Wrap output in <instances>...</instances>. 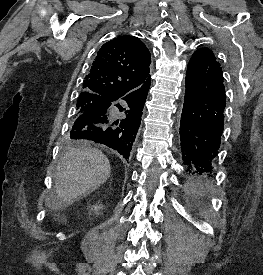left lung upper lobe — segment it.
<instances>
[{"label":"left lung upper lobe","instance_id":"5c2ea615","mask_svg":"<svg viewBox=\"0 0 263 275\" xmlns=\"http://www.w3.org/2000/svg\"><path fill=\"white\" fill-rule=\"evenodd\" d=\"M201 49H205V48H200V49H198V50H201Z\"/></svg>","mask_w":263,"mask_h":275}]
</instances>
